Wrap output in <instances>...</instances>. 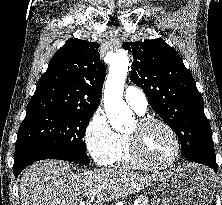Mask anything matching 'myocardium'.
<instances>
[{
  "label": "myocardium",
  "mask_w": 222,
  "mask_h": 205,
  "mask_svg": "<svg viewBox=\"0 0 222 205\" xmlns=\"http://www.w3.org/2000/svg\"><path fill=\"white\" fill-rule=\"evenodd\" d=\"M152 125L162 126L173 139L174 153L173 156L166 162H161V163L155 162L149 159L143 151L142 133L146 128ZM127 137L129 139L132 156L136 161H138L140 164L146 167L158 170L168 169L174 166L176 162L179 160L181 154V145L178 135L176 134L175 130L171 127V125H169L166 121L162 119L153 118V117H142L138 119L136 122V129L132 132H128Z\"/></svg>",
  "instance_id": "1"
}]
</instances>
